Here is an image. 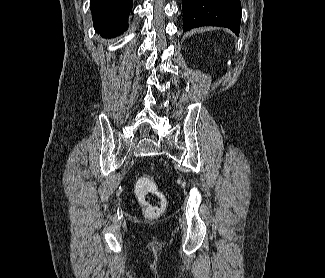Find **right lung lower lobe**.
Wrapping results in <instances>:
<instances>
[{
	"mask_svg": "<svg viewBox=\"0 0 325 278\" xmlns=\"http://www.w3.org/2000/svg\"><path fill=\"white\" fill-rule=\"evenodd\" d=\"M132 0H91L94 27L102 36L111 37L127 29Z\"/></svg>",
	"mask_w": 325,
	"mask_h": 278,
	"instance_id": "obj_1",
	"label": "right lung lower lobe"
}]
</instances>
